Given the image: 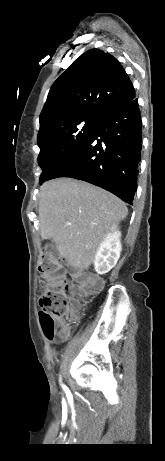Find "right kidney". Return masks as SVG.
<instances>
[{
    "instance_id": "right-kidney-1",
    "label": "right kidney",
    "mask_w": 165,
    "mask_h": 461,
    "mask_svg": "<svg viewBox=\"0 0 165 461\" xmlns=\"http://www.w3.org/2000/svg\"><path fill=\"white\" fill-rule=\"evenodd\" d=\"M112 232L105 235L100 244L94 260V267L98 274L103 275L109 272L117 263L121 252V232L112 227Z\"/></svg>"
}]
</instances>
